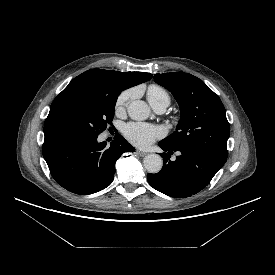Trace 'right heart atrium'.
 <instances>
[{"label": "right heart atrium", "mask_w": 275, "mask_h": 275, "mask_svg": "<svg viewBox=\"0 0 275 275\" xmlns=\"http://www.w3.org/2000/svg\"><path fill=\"white\" fill-rule=\"evenodd\" d=\"M133 92L131 90L122 91L115 101V112L116 114H121L125 111L128 103L132 98Z\"/></svg>", "instance_id": "right-heart-atrium-1"}]
</instances>
